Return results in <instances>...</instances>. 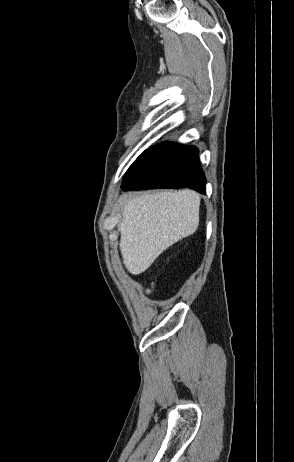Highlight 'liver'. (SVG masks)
I'll use <instances>...</instances> for the list:
<instances>
[{"label": "liver", "instance_id": "liver-1", "mask_svg": "<svg viewBox=\"0 0 294 462\" xmlns=\"http://www.w3.org/2000/svg\"><path fill=\"white\" fill-rule=\"evenodd\" d=\"M123 201L119 246L133 275L147 270L164 250L198 228L200 197L192 190L125 196Z\"/></svg>", "mask_w": 294, "mask_h": 462}]
</instances>
